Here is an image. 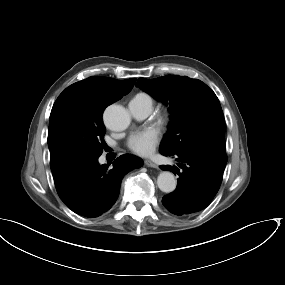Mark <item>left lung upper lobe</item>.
<instances>
[{
	"label": "left lung upper lobe",
	"instance_id": "obj_1",
	"mask_svg": "<svg viewBox=\"0 0 285 285\" xmlns=\"http://www.w3.org/2000/svg\"><path fill=\"white\" fill-rule=\"evenodd\" d=\"M136 85L169 105L171 121L160 153L173 155L196 149L225 153L222 108L206 84L186 76L167 75L156 79L139 78Z\"/></svg>",
	"mask_w": 285,
	"mask_h": 285
}]
</instances>
